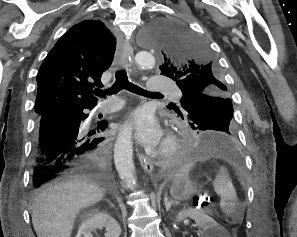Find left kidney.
<instances>
[{"mask_svg":"<svg viewBox=\"0 0 297 237\" xmlns=\"http://www.w3.org/2000/svg\"><path fill=\"white\" fill-rule=\"evenodd\" d=\"M193 219L198 225L199 229H202V237H220L222 228L221 226L210 216L196 209H187L180 211L176 216L177 221H182L185 218Z\"/></svg>","mask_w":297,"mask_h":237,"instance_id":"1","label":"left kidney"}]
</instances>
